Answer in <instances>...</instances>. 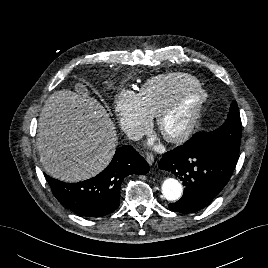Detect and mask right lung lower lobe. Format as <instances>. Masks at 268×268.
Returning <instances> with one entry per match:
<instances>
[{
	"label": "right lung lower lobe",
	"mask_w": 268,
	"mask_h": 268,
	"mask_svg": "<svg viewBox=\"0 0 268 268\" xmlns=\"http://www.w3.org/2000/svg\"><path fill=\"white\" fill-rule=\"evenodd\" d=\"M149 165L131 146L116 150L110 164L97 176L78 183H64L45 174L57 200L85 217L105 216L120 205V187L130 174H146Z\"/></svg>",
	"instance_id": "obj_1"
}]
</instances>
